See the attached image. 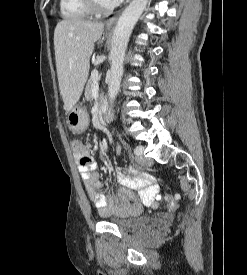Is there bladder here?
<instances>
[{
    "label": "bladder",
    "instance_id": "obj_1",
    "mask_svg": "<svg viewBox=\"0 0 247 275\" xmlns=\"http://www.w3.org/2000/svg\"><path fill=\"white\" fill-rule=\"evenodd\" d=\"M101 216L104 222L116 225L117 227L124 230H129L137 226H144L151 221L149 217H146L137 211H132L123 216H116V215H111V216L101 215Z\"/></svg>",
    "mask_w": 247,
    "mask_h": 275
}]
</instances>
